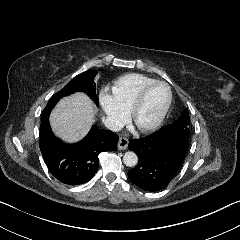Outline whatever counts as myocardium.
<instances>
[{"label": "myocardium", "mask_w": 240, "mask_h": 240, "mask_svg": "<svg viewBox=\"0 0 240 240\" xmlns=\"http://www.w3.org/2000/svg\"><path fill=\"white\" fill-rule=\"evenodd\" d=\"M156 85H161L166 88V90H167L166 100H165L159 114L152 121H150L149 123H147L145 125H138L136 122L137 114L140 111V109L142 108L147 94L152 89V87H154ZM171 101H172V92H171L170 86L166 82H163V81H153V82L147 84L146 86H144L140 90V92L138 93V95H137L135 101L133 102V104L131 105V107L127 111H125L126 123L134 124L136 126L138 132H140V133H149L151 131H154L161 125V123L165 119L166 114L170 108Z\"/></svg>", "instance_id": "obj_1"}]
</instances>
